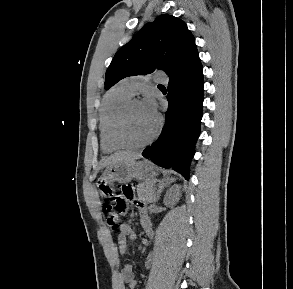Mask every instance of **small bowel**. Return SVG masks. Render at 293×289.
I'll return each mask as SVG.
<instances>
[{"label":"small bowel","instance_id":"obj_1","mask_svg":"<svg viewBox=\"0 0 293 289\" xmlns=\"http://www.w3.org/2000/svg\"><path fill=\"white\" fill-rule=\"evenodd\" d=\"M139 219L141 225L148 237L152 238L154 236V231L151 226L149 215L147 210L142 207L139 211ZM136 238V232L133 227L128 222H123L120 226V231L118 233L117 241L119 246V251L121 254H125L127 251L128 241L134 240ZM153 254H150L147 260V265L152 262ZM121 281L127 284L131 289L137 287V280L135 278L133 266L131 264H126L121 270Z\"/></svg>","mask_w":293,"mask_h":289}]
</instances>
